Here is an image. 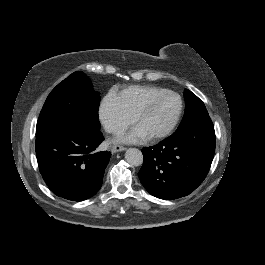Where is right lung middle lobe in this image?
Masks as SVG:
<instances>
[{"mask_svg":"<svg viewBox=\"0 0 265 265\" xmlns=\"http://www.w3.org/2000/svg\"><path fill=\"white\" fill-rule=\"evenodd\" d=\"M100 94L90 79L76 71L59 83L48 95L40 112L36 133L57 121H78L100 129Z\"/></svg>","mask_w":265,"mask_h":265,"instance_id":"dd1d6c3e","label":"right lung middle lobe"}]
</instances>
